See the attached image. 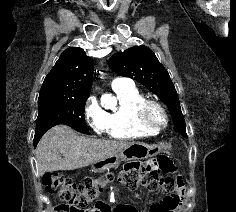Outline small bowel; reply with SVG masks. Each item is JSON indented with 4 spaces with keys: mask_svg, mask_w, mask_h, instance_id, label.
<instances>
[{
    "mask_svg": "<svg viewBox=\"0 0 236 212\" xmlns=\"http://www.w3.org/2000/svg\"><path fill=\"white\" fill-rule=\"evenodd\" d=\"M166 173H173V171H167ZM177 184L180 187V181L177 180ZM123 190H138V185H123ZM182 189L179 188L178 193L167 195L160 199H157L150 206L149 212H179L182 205L180 196ZM95 204L89 205V209H83V212H137L136 209L128 208L126 205H105L110 204V199H95Z\"/></svg>",
    "mask_w": 236,
    "mask_h": 212,
    "instance_id": "obj_1",
    "label": "small bowel"
}]
</instances>
